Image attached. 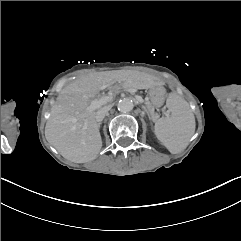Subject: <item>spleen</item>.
I'll return each mask as SVG.
<instances>
[{"instance_id":"3e777b00","label":"spleen","mask_w":241,"mask_h":241,"mask_svg":"<svg viewBox=\"0 0 241 241\" xmlns=\"http://www.w3.org/2000/svg\"><path fill=\"white\" fill-rule=\"evenodd\" d=\"M169 118L155 122L154 133L158 141L171 153L177 154L185 149L195 132V119L189 106L176 93L169 95Z\"/></svg>"}]
</instances>
